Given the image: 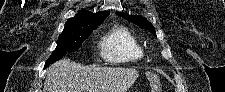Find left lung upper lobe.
I'll use <instances>...</instances> for the list:
<instances>
[{
  "mask_svg": "<svg viewBox=\"0 0 225 92\" xmlns=\"http://www.w3.org/2000/svg\"><path fill=\"white\" fill-rule=\"evenodd\" d=\"M116 14L119 16H122L129 22H132V23L138 25L140 28L147 29L148 31H150L151 33L156 35L155 28L153 27V25L151 23L147 22V20L145 18H142L141 16H132L127 13H120V12L119 13L117 12Z\"/></svg>",
  "mask_w": 225,
  "mask_h": 92,
  "instance_id": "obj_1",
  "label": "left lung upper lobe"
}]
</instances>
